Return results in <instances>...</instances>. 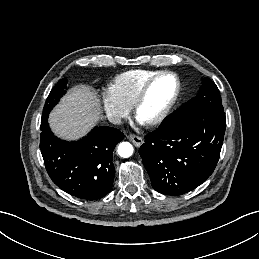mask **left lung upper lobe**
Wrapping results in <instances>:
<instances>
[{"instance_id":"1","label":"left lung upper lobe","mask_w":259,"mask_h":259,"mask_svg":"<svg viewBox=\"0 0 259 259\" xmlns=\"http://www.w3.org/2000/svg\"><path fill=\"white\" fill-rule=\"evenodd\" d=\"M200 110L224 111L220 92L216 84L209 78H204L202 80V86L198 95L183 104L173 114L167 117L160 127L169 125L181 117Z\"/></svg>"}]
</instances>
